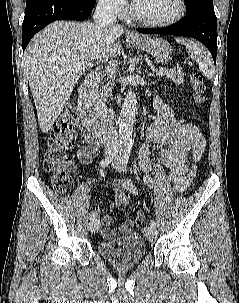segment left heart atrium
Masks as SVG:
<instances>
[{"instance_id": "39dd6f15", "label": "left heart atrium", "mask_w": 239, "mask_h": 303, "mask_svg": "<svg viewBox=\"0 0 239 303\" xmlns=\"http://www.w3.org/2000/svg\"><path fill=\"white\" fill-rule=\"evenodd\" d=\"M137 1H138V0H133V3L135 4V3H137Z\"/></svg>"}]
</instances>
